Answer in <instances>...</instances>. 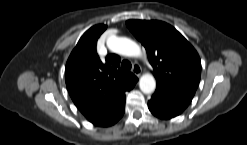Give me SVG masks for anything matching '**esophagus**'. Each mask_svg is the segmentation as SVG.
Masks as SVG:
<instances>
[{"instance_id":"esophagus-1","label":"esophagus","mask_w":247,"mask_h":145,"mask_svg":"<svg viewBox=\"0 0 247 145\" xmlns=\"http://www.w3.org/2000/svg\"><path fill=\"white\" fill-rule=\"evenodd\" d=\"M141 67L138 64H134L132 67V72L136 75V76H140L141 75Z\"/></svg>"}]
</instances>
